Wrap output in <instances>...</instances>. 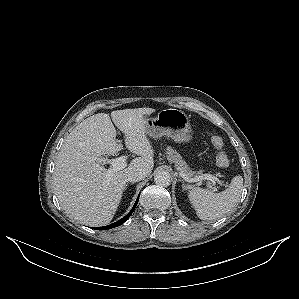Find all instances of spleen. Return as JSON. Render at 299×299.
I'll use <instances>...</instances> for the list:
<instances>
[{
  "label": "spleen",
  "instance_id": "obj_1",
  "mask_svg": "<svg viewBox=\"0 0 299 299\" xmlns=\"http://www.w3.org/2000/svg\"><path fill=\"white\" fill-rule=\"evenodd\" d=\"M242 190L243 178L238 175L222 192L214 193L208 189L195 187L189 191L188 198L200 219L213 220L223 216L237 205Z\"/></svg>",
  "mask_w": 299,
  "mask_h": 299
}]
</instances>
